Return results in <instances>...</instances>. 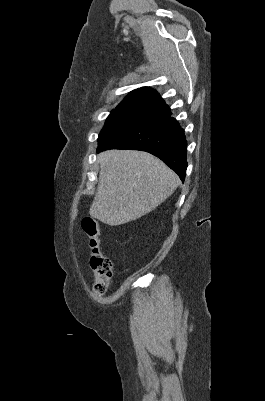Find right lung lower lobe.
<instances>
[{"instance_id":"right-lung-lower-lobe-1","label":"right lung lower lobe","mask_w":265,"mask_h":401,"mask_svg":"<svg viewBox=\"0 0 265 401\" xmlns=\"http://www.w3.org/2000/svg\"><path fill=\"white\" fill-rule=\"evenodd\" d=\"M167 107L124 129L97 152L107 149H133L149 152L174 170L182 181L187 169V141L184 129Z\"/></svg>"}]
</instances>
